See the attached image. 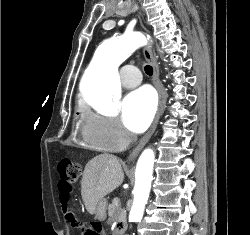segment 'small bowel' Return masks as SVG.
<instances>
[{"instance_id": "c3829d8e", "label": "small bowel", "mask_w": 250, "mask_h": 235, "mask_svg": "<svg viewBox=\"0 0 250 235\" xmlns=\"http://www.w3.org/2000/svg\"><path fill=\"white\" fill-rule=\"evenodd\" d=\"M70 194L68 195H59V202L65 212L67 204L69 202ZM66 213V212H65ZM85 232H81V235H99V230L97 228H84Z\"/></svg>"}]
</instances>
